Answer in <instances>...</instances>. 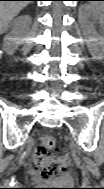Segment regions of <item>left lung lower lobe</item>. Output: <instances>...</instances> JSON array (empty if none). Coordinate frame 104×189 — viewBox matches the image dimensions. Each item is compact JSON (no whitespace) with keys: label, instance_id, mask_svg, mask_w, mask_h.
Listing matches in <instances>:
<instances>
[{"label":"left lung lower lobe","instance_id":"1","mask_svg":"<svg viewBox=\"0 0 104 189\" xmlns=\"http://www.w3.org/2000/svg\"><path fill=\"white\" fill-rule=\"evenodd\" d=\"M78 1H90V0H78Z\"/></svg>","mask_w":104,"mask_h":189}]
</instances>
